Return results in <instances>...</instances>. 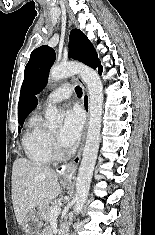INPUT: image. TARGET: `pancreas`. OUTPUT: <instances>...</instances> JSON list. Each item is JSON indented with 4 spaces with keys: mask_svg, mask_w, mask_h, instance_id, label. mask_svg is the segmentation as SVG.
Masks as SVG:
<instances>
[{
    "mask_svg": "<svg viewBox=\"0 0 155 235\" xmlns=\"http://www.w3.org/2000/svg\"><path fill=\"white\" fill-rule=\"evenodd\" d=\"M59 204V200H53L50 202V204H45L44 206H42V214L46 221L50 220V217L52 215V208Z\"/></svg>",
    "mask_w": 155,
    "mask_h": 235,
    "instance_id": "1",
    "label": "pancreas"
}]
</instances>
